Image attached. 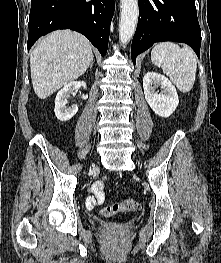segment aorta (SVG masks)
<instances>
[{"instance_id":"obj_1","label":"aorta","mask_w":221,"mask_h":263,"mask_svg":"<svg viewBox=\"0 0 221 263\" xmlns=\"http://www.w3.org/2000/svg\"><path fill=\"white\" fill-rule=\"evenodd\" d=\"M138 20V0H121L119 40L122 44L130 41L134 35Z\"/></svg>"}]
</instances>
